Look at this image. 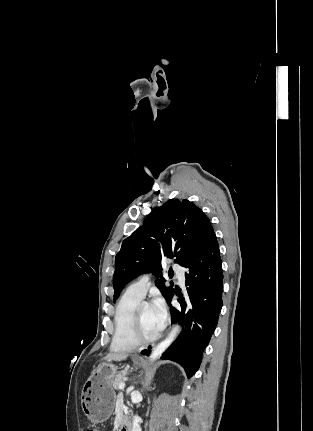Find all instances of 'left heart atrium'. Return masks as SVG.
<instances>
[{
	"mask_svg": "<svg viewBox=\"0 0 313 431\" xmlns=\"http://www.w3.org/2000/svg\"><path fill=\"white\" fill-rule=\"evenodd\" d=\"M150 308L154 316L156 327L158 331H160L164 327L167 318V311L163 299L161 297H155Z\"/></svg>",
	"mask_w": 313,
	"mask_h": 431,
	"instance_id": "39dd6f15",
	"label": "left heart atrium"
}]
</instances>
